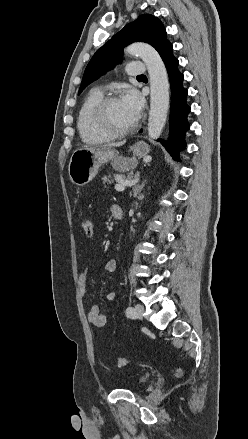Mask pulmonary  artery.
I'll return each mask as SVG.
<instances>
[{
    "mask_svg": "<svg viewBox=\"0 0 248 439\" xmlns=\"http://www.w3.org/2000/svg\"><path fill=\"white\" fill-rule=\"evenodd\" d=\"M146 66L141 61L131 62L127 67V74L130 76H140L145 74Z\"/></svg>",
    "mask_w": 248,
    "mask_h": 439,
    "instance_id": "obj_1",
    "label": "pulmonary artery"
}]
</instances>
